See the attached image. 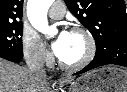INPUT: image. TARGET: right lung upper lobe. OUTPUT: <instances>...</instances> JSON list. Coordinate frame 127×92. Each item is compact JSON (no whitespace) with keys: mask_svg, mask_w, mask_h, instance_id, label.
I'll return each mask as SVG.
<instances>
[{"mask_svg":"<svg viewBox=\"0 0 127 92\" xmlns=\"http://www.w3.org/2000/svg\"><path fill=\"white\" fill-rule=\"evenodd\" d=\"M22 10L23 0H0V25L22 23Z\"/></svg>","mask_w":127,"mask_h":92,"instance_id":"right-lung-upper-lobe-1","label":"right lung upper lobe"}]
</instances>
